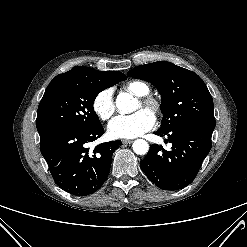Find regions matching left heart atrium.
<instances>
[{
    "label": "left heart atrium",
    "instance_id": "obj_1",
    "mask_svg": "<svg viewBox=\"0 0 247 247\" xmlns=\"http://www.w3.org/2000/svg\"><path fill=\"white\" fill-rule=\"evenodd\" d=\"M155 124L151 112L140 109L131 115H119L108 125V133L112 138H135L149 131Z\"/></svg>",
    "mask_w": 247,
    "mask_h": 247
}]
</instances>
